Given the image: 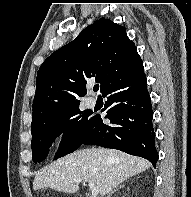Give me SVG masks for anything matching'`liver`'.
Returning <instances> with one entry per match:
<instances>
[{"instance_id":"1","label":"liver","mask_w":191,"mask_h":197,"mask_svg":"<svg viewBox=\"0 0 191 197\" xmlns=\"http://www.w3.org/2000/svg\"><path fill=\"white\" fill-rule=\"evenodd\" d=\"M151 166L150 162L119 150L87 148L77 150L38 171L33 189L51 188L60 192L75 193L81 179L92 182L99 188L101 196L116 186Z\"/></svg>"}]
</instances>
